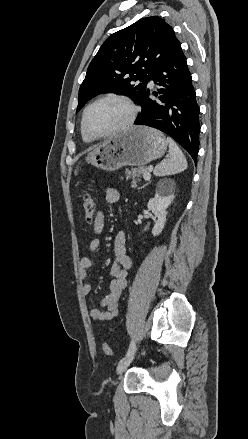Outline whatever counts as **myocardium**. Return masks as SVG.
<instances>
[{
    "label": "myocardium",
    "mask_w": 248,
    "mask_h": 439,
    "mask_svg": "<svg viewBox=\"0 0 248 439\" xmlns=\"http://www.w3.org/2000/svg\"><path fill=\"white\" fill-rule=\"evenodd\" d=\"M104 100H115V101L122 103L123 105H125L127 107L128 111H129V116H128L126 122L123 125H121L120 127L116 128L112 131L106 132V133L95 134L87 129L86 117H87L89 110L94 105H96L97 103L104 101ZM137 113H138V109H137L136 105L126 96L118 95V94H105V95H102V96L96 98L95 100H93L91 103H89L85 107L83 114H82V119H81V128H82L83 133L93 140L110 137V136L128 131L130 128H132V126L135 123Z\"/></svg>",
    "instance_id": "obj_1"
}]
</instances>
